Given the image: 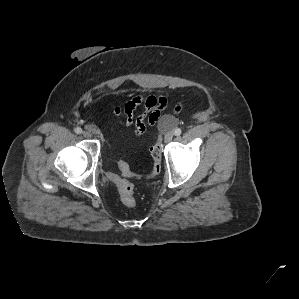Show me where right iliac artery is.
<instances>
[{
    "mask_svg": "<svg viewBox=\"0 0 299 299\" xmlns=\"http://www.w3.org/2000/svg\"><path fill=\"white\" fill-rule=\"evenodd\" d=\"M74 132L77 133V134H81L82 129L80 127H76V128H74Z\"/></svg>",
    "mask_w": 299,
    "mask_h": 299,
    "instance_id": "obj_1",
    "label": "right iliac artery"
}]
</instances>
